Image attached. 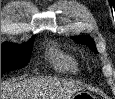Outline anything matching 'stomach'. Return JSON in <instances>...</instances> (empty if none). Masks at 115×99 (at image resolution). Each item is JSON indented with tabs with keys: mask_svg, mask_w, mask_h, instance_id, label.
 I'll use <instances>...</instances> for the list:
<instances>
[{
	"mask_svg": "<svg viewBox=\"0 0 115 99\" xmlns=\"http://www.w3.org/2000/svg\"><path fill=\"white\" fill-rule=\"evenodd\" d=\"M93 98V95L87 91H80L71 96L69 99H89Z\"/></svg>",
	"mask_w": 115,
	"mask_h": 99,
	"instance_id": "0dacf381",
	"label": "stomach"
}]
</instances>
